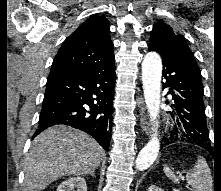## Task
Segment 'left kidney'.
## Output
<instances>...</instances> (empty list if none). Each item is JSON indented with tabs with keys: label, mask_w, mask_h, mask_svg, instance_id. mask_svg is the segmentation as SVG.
<instances>
[{
	"label": "left kidney",
	"mask_w": 221,
	"mask_h": 191,
	"mask_svg": "<svg viewBox=\"0 0 221 191\" xmlns=\"http://www.w3.org/2000/svg\"><path fill=\"white\" fill-rule=\"evenodd\" d=\"M147 191H164L163 189L159 188L156 185H151Z\"/></svg>",
	"instance_id": "left-kidney-1"
}]
</instances>
